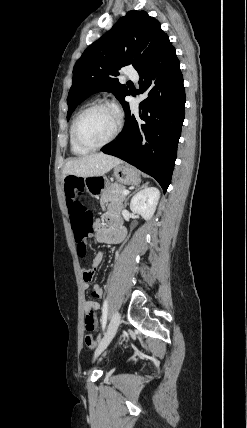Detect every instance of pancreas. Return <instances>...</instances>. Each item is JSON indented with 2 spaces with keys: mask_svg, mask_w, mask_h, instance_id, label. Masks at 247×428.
<instances>
[{
  "mask_svg": "<svg viewBox=\"0 0 247 428\" xmlns=\"http://www.w3.org/2000/svg\"><path fill=\"white\" fill-rule=\"evenodd\" d=\"M125 190V186L114 183L109 184L101 195L100 204L102 207L108 202L119 204L125 199V195L122 191Z\"/></svg>",
  "mask_w": 247,
  "mask_h": 428,
  "instance_id": "obj_1",
  "label": "pancreas"
}]
</instances>
